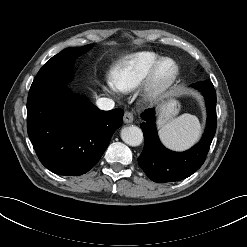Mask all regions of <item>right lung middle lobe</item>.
Listing matches in <instances>:
<instances>
[{"mask_svg": "<svg viewBox=\"0 0 247 247\" xmlns=\"http://www.w3.org/2000/svg\"><path fill=\"white\" fill-rule=\"evenodd\" d=\"M91 45L67 48L53 56L37 73L31 86L45 88L48 85L63 86L73 77L72 65L81 54L90 50Z\"/></svg>", "mask_w": 247, "mask_h": 247, "instance_id": "1", "label": "right lung middle lobe"}]
</instances>
